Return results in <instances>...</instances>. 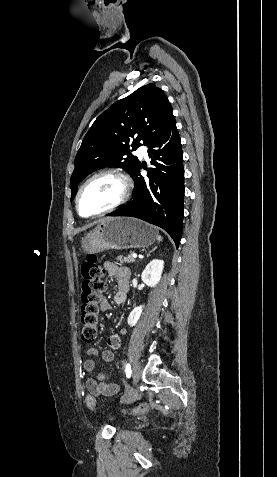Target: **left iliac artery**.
<instances>
[{
    "instance_id": "1",
    "label": "left iliac artery",
    "mask_w": 277,
    "mask_h": 477,
    "mask_svg": "<svg viewBox=\"0 0 277 477\" xmlns=\"http://www.w3.org/2000/svg\"><path fill=\"white\" fill-rule=\"evenodd\" d=\"M125 371H126L127 377L129 378L131 376V367L129 364L126 365Z\"/></svg>"
}]
</instances>
